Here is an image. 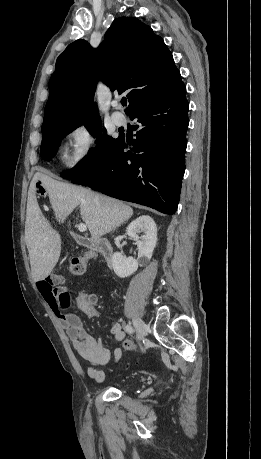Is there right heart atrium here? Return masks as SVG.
I'll return each instance as SVG.
<instances>
[{
	"label": "right heart atrium",
	"instance_id": "1",
	"mask_svg": "<svg viewBox=\"0 0 261 459\" xmlns=\"http://www.w3.org/2000/svg\"><path fill=\"white\" fill-rule=\"evenodd\" d=\"M68 150L64 164L69 169L81 166L91 155L96 144V134L91 125L79 123L67 133Z\"/></svg>",
	"mask_w": 261,
	"mask_h": 459
}]
</instances>
